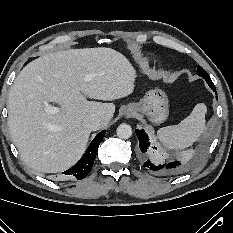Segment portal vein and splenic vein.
Segmentation results:
<instances>
[{"label": "portal vein and splenic vein", "mask_w": 233, "mask_h": 233, "mask_svg": "<svg viewBox=\"0 0 233 233\" xmlns=\"http://www.w3.org/2000/svg\"><path fill=\"white\" fill-rule=\"evenodd\" d=\"M46 112L49 114H56L59 112V108L55 106H47L46 107Z\"/></svg>", "instance_id": "portal-vein-and-splenic-vein-1"}]
</instances>
